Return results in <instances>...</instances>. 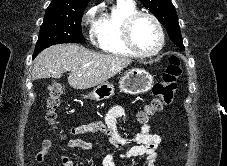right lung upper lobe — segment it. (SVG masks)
<instances>
[{
	"label": "right lung upper lobe",
	"mask_w": 227,
	"mask_h": 166,
	"mask_svg": "<svg viewBox=\"0 0 227 166\" xmlns=\"http://www.w3.org/2000/svg\"><path fill=\"white\" fill-rule=\"evenodd\" d=\"M90 0H52L46 11H79L86 8Z\"/></svg>",
	"instance_id": "obj_1"
}]
</instances>
